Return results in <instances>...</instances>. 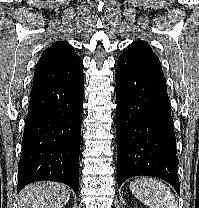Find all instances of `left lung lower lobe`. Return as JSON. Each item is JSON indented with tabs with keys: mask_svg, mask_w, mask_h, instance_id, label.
I'll return each instance as SVG.
<instances>
[{
	"mask_svg": "<svg viewBox=\"0 0 199 208\" xmlns=\"http://www.w3.org/2000/svg\"><path fill=\"white\" fill-rule=\"evenodd\" d=\"M118 187L137 175L155 176L180 192L178 157L163 74L120 56L116 71Z\"/></svg>",
	"mask_w": 199,
	"mask_h": 208,
	"instance_id": "left-lung-lower-lobe-1",
	"label": "left lung lower lobe"
}]
</instances>
